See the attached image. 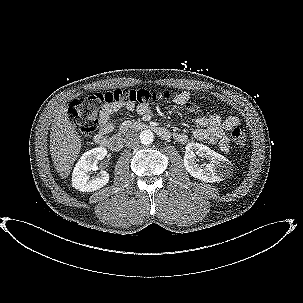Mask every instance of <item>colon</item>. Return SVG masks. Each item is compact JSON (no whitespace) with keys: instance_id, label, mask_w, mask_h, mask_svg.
I'll return each mask as SVG.
<instances>
[{"instance_id":"5ec220e1","label":"colon","mask_w":303,"mask_h":303,"mask_svg":"<svg viewBox=\"0 0 303 303\" xmlns=\"http://www.w3.org/2000/svg\"><path fill=\"white\" fill-rule=\"evenodd\" d=\"M164 97L165 94L147 89H116L96 93L73 100L68 107V118L77 126L79 132L88 139L96 135L98 129L97 115L106 104H146ZM186 105L191 107L189 103ZM231 137L236 148H243L248 141L247 132L241 128L233 129Z\"/></svg>"}]
</instances>
